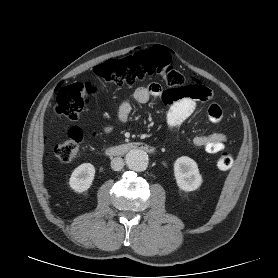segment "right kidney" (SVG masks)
Returning a JSON list of instances; mask_svg holds the SVG:
<instances>
[{
  "label": "right kidney",
  "mask_w": 278,
  "mask_h": 278,
  "mask_svg": "<svg viewBox=\"0 0 278 278\" xmlns=\"http://www.w3.org/2000/svg\"><path fill=\"white\" fill-rule=\"evenodd\" d=\"M94 176V166L91 163H83L72 172L69 185L76 192H84L92 185Z\"/></svg>",
  "instance_id": "ca27d5eb"
}]
</instances>
